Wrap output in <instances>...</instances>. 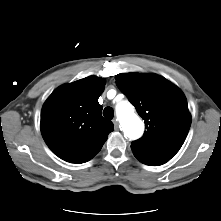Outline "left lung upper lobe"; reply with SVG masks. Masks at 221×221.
Returning <instances> with one entry per match:
<instances>
[{
	"label": "left lung upper lobe",
	"instance_id": "obj_1",
	"mask_svg": "<svg viewBox=\"0 0 221 221\" xmlns=\"http://www.w3.org/2000/svg\"><path fill=\"white\" fill-rule=\"evenodd\" d=\"M115 79L147 128L140 139L132 142L133 153L153 166L168 162L183 145L191 125L184 94L156 74H118Z\"/></svg>",
	"mask_w": 221,
	"mask_h": 221
}]
</instances>
